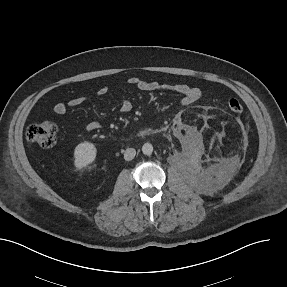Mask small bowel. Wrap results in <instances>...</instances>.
Segmentation results:
<instances>
[{"label": "small bowel", "instance_id": "obj_1", "mask_svg": "<svg viewBox=\"0 0 287 287\" xmlns=\"http://www.w3.org/2000/svg\"><path fill=\"white\" fill-rule=\"evenodd\" d=\"M128 83L129 85L135 87L140 91H166L176 93L181 96V102L184 105H191L197 102L202 96V92L199 88L184 83L166 84L152 80H145L139 77H130L128 79ZM107 91V87H101L98 90V93L99 95H105ZM84 101L85 97L82 96L74 97L68 102L59 101L54 105V112L57 115L62 116L67 112L68 106L76 107L84 103ZM132 108V102H130L129 100H125L120 106V111L123 113H127L130 112ZM101 128L102 124L98 121H90L85 126L87 132H95Z\"/></svg>", "mask_w": 287, "mask_h": 287}]
</instances>
